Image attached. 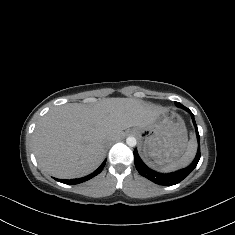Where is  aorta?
<instances>
[{
  "label": "aorta",
  "instance_id": "762f6f07",
  "mask_svg": "<svg viewBox=\"0 0 235 235\" xmlns=\"http://www.w3.org/2000/svg\"><path fill=\"white\" fill-rule=\"evenodd\" d=\"M126 143H127V145L130 146V147H135L136 144H137V140H136V138H134V137H128V138L126 139Z\"/></svg>",
  "mask_w": 235,
  "mask_h": 235
}]
</instances>
